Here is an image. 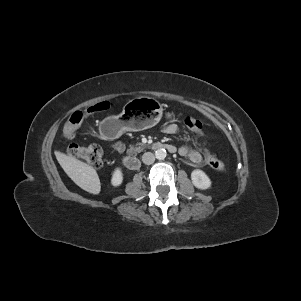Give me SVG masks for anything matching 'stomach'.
<instances>
[{
    "label": "stomach",
    "mask_w": 301,
    "mask_h": 301,
    "mask_svg": "<svg viewBox=\"0 0 301 301\" xmlns=\"http://www.w3.org/2000/svg\"><path fill=\"white\" fill-rule=\"evenodd\" d=\"M162 115L160 103L149 97L128 101L121 114L111 116L101 123L108 139H116L126 131H141L155 126Z\"/></svg>",
    "instance_id": "obj_1"
}]
</instances>
